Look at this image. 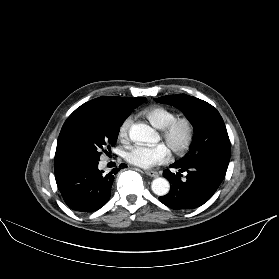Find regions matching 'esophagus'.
I'll use <instances>...</instances> for the list:
<instances>
[{
  "label": "esophagus",
  "instance_id": "1",
  "mask_svg": "<svg viewBox=\"0 0 279 279\" xmlns=\"http://www.w3.org/2000/svg\"><path fill=\"white\" fill-rule=\"evenodd\" d=\"M145 173L150 177H158L159 176V173L157 171H153V170H145Z\"/></svg>",
  "mask_w": 279,
  "mask_h": 279
}]
</instances>
